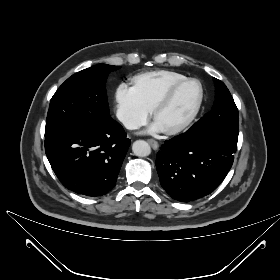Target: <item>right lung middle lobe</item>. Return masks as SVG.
I'll list each match as a JSON object with an SVG mask.
<instances>
[{
	"label": "right lung middle lobe",
	"instance_id": "right-lung-middle-lobe-1",
	"mask_svg": "<svg viewBox=\"0 0 280 280\" xmlns=\"http://www.w3.org/2000/svg\"><path fill=\"white\" fill-rule=\"evenodd\" d=\"M119 68L98 64L69 77L50 101L45 135L62 126L111 123L105 83L108 74Z\"/></svg>",
	"mask_w": 280,
	"mask_h": 280
}]
</instances>
